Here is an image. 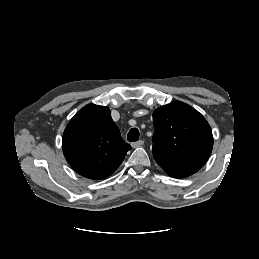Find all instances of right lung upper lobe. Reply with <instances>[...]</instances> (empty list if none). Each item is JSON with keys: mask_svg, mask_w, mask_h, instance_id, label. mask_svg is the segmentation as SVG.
Segmentation results:
<instances>
[{"mask_svg": "<svg viewBox=\"0 0 259 259\" xmlns=\"http://www.w3.org/2000/svg\"><path fill=\"white\" fill-rule=\"evenodd\" d=\"M62 148L78 174L100 180L120 166L131 146L121 138L109 108L88 104L67 125Z\"/></svg>", "mask_w": 259, "mask_h": 259, "instance_id": "cb5924a9", "label": "right lung upper lobe"}]
</instances>
